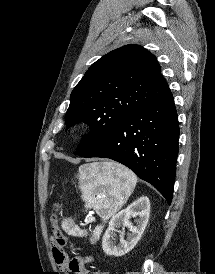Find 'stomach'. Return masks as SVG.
I'll return each instance as SVG.
<instances>
[{"label": "stomach", "mask_w": 215, "mask_h": 274, "mask_svg": "<svg viewBox=\"0 0 215 274\" xmlns=\"http://www.w3.org/2000/svg\"><path fill=\"white\" fill-rule=\"evenodd\" d=\"M114 166H117L118 164L111 162Z\"/></svg>", "instance_id": "obj_1"}]
</instances>
